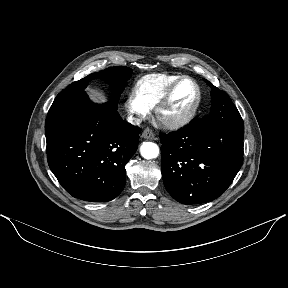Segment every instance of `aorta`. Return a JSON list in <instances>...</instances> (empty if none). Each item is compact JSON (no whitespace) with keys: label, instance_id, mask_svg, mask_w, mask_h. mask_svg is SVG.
<instances>
[{"label":"aorta","instance_id":"1","mask_svg":"<svg viewBox=\"0 0 288 288\" xmlns=\"http://www.w3.org/2000/svg\"><path fill=\"white\" fill-rule=\"evenodd\" d=\"M140 153L145 159H154L159 155V147L153 142H144L140 147Z\"/></svg>","mask_w":288,"mask_h":288}]
</instances>
